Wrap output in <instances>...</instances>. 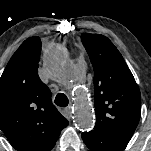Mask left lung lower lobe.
<instances>
[{
	"instance_id": "0a47b994",
	"label": "left lung lower lobe",
	"mask_w": 151,
	"mask_h": 151,
	"mask_svg": "<svg viewBox=\"0 0 151 151\" xmlns=\"http://www.w3.org/2000/svg\"><path fill=\"white\" fill-rule=\"evenodd\" d=\"M82 139L92 151H122L126 148L131 137L92 130L88 133H82Z\"/></svg>"
}]
</instances>
